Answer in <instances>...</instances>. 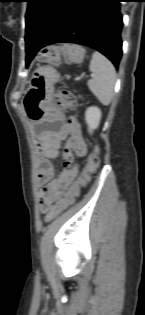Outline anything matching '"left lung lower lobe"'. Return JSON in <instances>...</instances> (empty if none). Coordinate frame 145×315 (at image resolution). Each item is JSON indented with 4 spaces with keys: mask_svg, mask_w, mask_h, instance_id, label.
I'll return each mask as SVG.
<instances>
[{
    "mask_svg": "<svg viewBox=\"0 0 145 315\" xmlns=\"http://www.w3.org/2000/svg\"><path fill=\"white\" fill-rule=\"evenodd\" d=\"M120 2L122 0H73L45 40L25 35L26 65L45 46L76 43L101 52L118 68L123 27Z\"/></svg>",
    "mask_w": 145,
    "mask_h": 315,
    "instance_id": "1",
    "label": "left lung lower lobe"
}]
</instances>
